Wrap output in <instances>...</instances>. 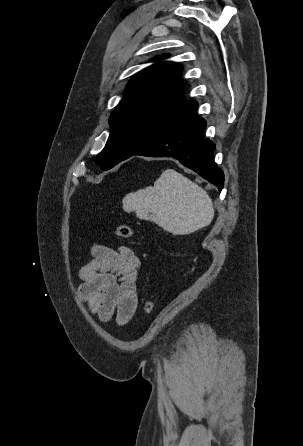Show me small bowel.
<instances>
[{
	"label": "small bowel",
	"instance_id": "1",
	"mask_svg": "<svg viewBox=\"0 0 303 446\" xmlns=\"http://www.w3.org/2000/svg\"><path fill=\"white\" fill-rule=\"evenodd\" d=\"M91 256L79 271V295L102 321L115 315L118 324L124 325L138 305L139 259L127 246L93 245Z\"/></svg>",
	"mask_w": 303,
	"mask_h": 446
}]
</instances>
